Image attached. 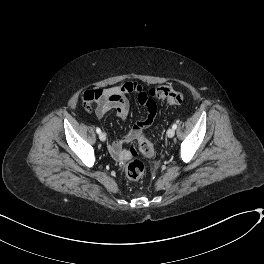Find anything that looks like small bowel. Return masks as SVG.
<instances>
[{"mask_svg":"<svg viewBox=\"0 0 264 264\" xmlns=\"http://www.w3.org/2000/svg\"><path fill=\"white\" fill-rule=\"evenodd\" d=\"M142 91V85L136 81H127L123 84L88 92L85 94L84 100L87 105H92L95 107V115L98 118H102L111 109H115L118 117L126 119L130 109L127 97L130 94L139 93ZM89 94L92 95L91 99H88ZM147 109L148 115L143 121L140 122L141 127L152 125L156 118L157 105L155 104L153 107ZM139 129L140 128L135 124L133 129L130 130L125 138L113 140L107 144V149L113 158L123 161L130 156L131 153L126 152L123 147L125 143L139 138Z\"/></svg>","mask_w":264,"mask_h":264,"instance_id":"c3829d8e","label":"small bowel"}]
</instances>
